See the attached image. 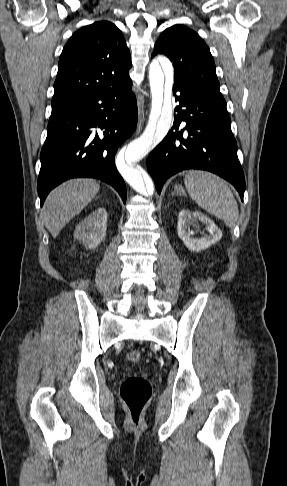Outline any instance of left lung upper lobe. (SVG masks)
Segmentation results:
<instances>
[{
  "label": "left lung upper lobe",
  "mask_w": 287,
  "mask_h": 486,
  "mask_svg": "<svg viewBox=\"0 0 287 486\" xmlns=\"http://www.w3.org/2000/svg\"><path fill=\"white\" fill-rule=\"evenodd\" d=\"M157 54H164L173 62L174 79L190 83L211 102L227 110L213 57L195 31L184 25L167 28L155 43L152 56Z\"/></svg>",
  "instance_id": "5c2ea615"
}]
</instances>
